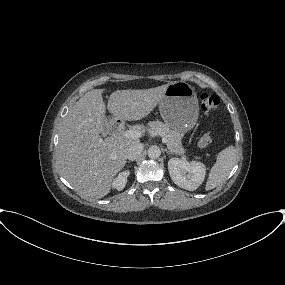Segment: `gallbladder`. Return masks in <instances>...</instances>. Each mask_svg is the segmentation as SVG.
Instances as JSON below:
<instances>
[{
	"instance_id": "bac80fb5",
	"label": "gallbladder",
	"mask_w": 285,
	"mask_h": 285,
	"mask_svg": "<svg viewBox=\"0 0 285 285\" xmlns=\"http://www.w3.org/2000/svg\"><path fill=\"white\" fill-rule=\"evenodd\" d=\"M104 123H105L104 128L106 129L108 127V120H107V118H104Z\"/></svg>"
}]
</instances>
